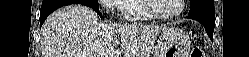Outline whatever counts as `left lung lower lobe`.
<instances>
[{"label": "left lung lower lobe", "instance_id": "1", "mask_svg": "<svg viewBox=\"0 0 249 57\" xmlns=\"http://www.w3.org/2000/svg\"><path fill=\"white\" fill-rule=\"evenodd\" d=\"M188 18L199 21L209 35L210 39L213 40V31L215 27V14L214 11H205L188 15Z\"/></svg>", "mask_w": 249, "mask_h": 57}]
</instances>
